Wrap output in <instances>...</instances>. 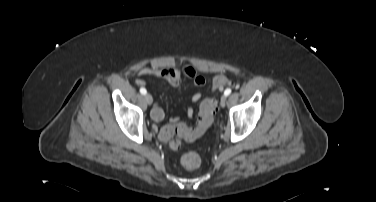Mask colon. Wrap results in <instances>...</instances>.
I'll use <instances>...</instances> for the list:
<instances>
[{
    "label": "colon",
    "mask_w": 376,
    "mask_h": 202,
    "mask_svg": "<svg viewBox=\"0 0 376 202\" xmlns=\"http://www.w3.org/2000/svg\"><path fill=\"white\" fill-rule=\"evenodd\" d=\"M229 84L230 80L227 76L218 75L212 81V88L213 90H221ZM216 108L217 100L213 96L205 98L199 107L197 127L194 133L181 123L171 124L160 130L161 139L167 142L172 149H177L182 137L202 134L213 124ZM200 163V157L194 151L187 152L181 157V164L186 169H195L199 167Z\"/></svg>",
    "instance_id": "obj_1"
}]
</instances>
